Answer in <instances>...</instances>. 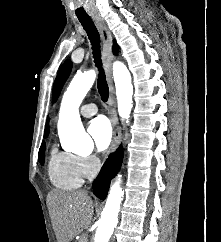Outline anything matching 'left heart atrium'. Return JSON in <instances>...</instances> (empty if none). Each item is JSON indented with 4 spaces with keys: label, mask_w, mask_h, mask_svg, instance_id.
Masks as SVG:
<instances>
[{
    "label": "left heart atrium",
    "mask_w": 221,
    "mask_h": 242,
    "mask_svg": "<svg viewBox=\"0 0 221 242\" xmlns=\"http://www.w3.org/2000/svg\"><path fill=\"white\" fill-rule=\"evenodd\" d=\"M88 133L98 151H103L110 145L112 128L104 116H99L90 122Z\"/></svg>",
    "instance_id": "1"
}]
</instances>
